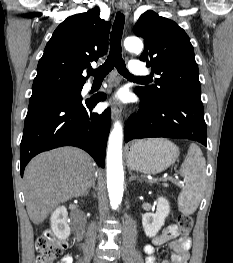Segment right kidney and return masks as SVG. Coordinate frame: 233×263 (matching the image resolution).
Here are the masks:
<instances>
[{"label":"right kidney","mask_w":233,"mask_h":263,"mask_svg":"<svg viewBox=\"0 0 233 263\" xmlns=\"http://www.w3.org/2000/svg\"><path fill=\"white\" fill-rule=\"evenodd\" d=\"M68 212L65 206H60L51 215V228L54 235L65 240L70 235V227L67 223Z\"/></svg>","instance_id":"ca27d5eb"}]
</instances>
